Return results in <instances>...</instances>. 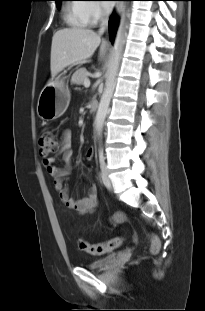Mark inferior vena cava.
Masks as SVG:
<instances>
[{"mask_svg": "<svg viewBox=\"0 0 205 311\" xmlns=\"http://www.w3.org/2000/svg\"><path fill=\"white\" fill-rule=\"evenodd\" d=\"M108 14H109V11H106V12H105V15L108 16ZM107 24H108V19H107V17H106L104 20H102L101 28H100V33H103V32H104L105 26H106Z\"/></svg>", "mask_w": 205, "mask_h": 311, "instance_id": "inferior-vena-cava-1", "label": "inferior vena cava"}]
</instances>
